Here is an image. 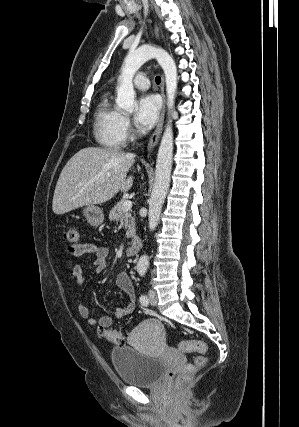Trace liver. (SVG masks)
Here are the masks:
<instances>
[{
  "mask_svg": "<svg viewBox=\"0 0 299 427\" xmlns=\"http://www.w3.org/2000/svg\"><path fill=\"white\" fill-rule=\"evenodd\" d=\"M135 155L119 150L87 147L64 166L57 181L52 209L65 214L76 208L105 203L119 191L127 192L133 177L127 173Z\"/></svg>",
  "mask_w": 299,
  "mask_h": 427,
  "instance_id": "6515ba94",
  "label": "liver"
}]
</instances>
